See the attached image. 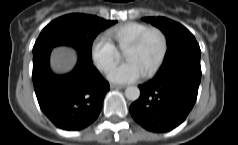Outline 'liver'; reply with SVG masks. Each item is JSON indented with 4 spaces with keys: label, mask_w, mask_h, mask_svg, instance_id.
Segmentation results:
<instances>
[{
    "label": "liver",
    "mask_w": 238,
    "mask_h": 145,
    "mask_svg": "<svg viewBox=\"0 0 238 145\" xmlns=\"http://www.w3.org/2000/svg\"><path fill=\"white\" fill-rule=\"evenodd\" d=\"M76 63V53L67 47L55 48L51 55V67L56 73H66L72 70Z\"/></svg>",
    "instance_id": "1"
}]
</instances>
